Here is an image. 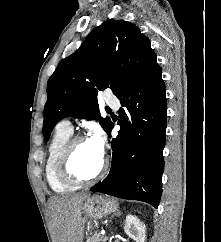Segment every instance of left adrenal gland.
Returning <instances> with one entry per match:
<instances>
[{
    "instance_id": "obj_1",
    "label": "left adrenal gland",
    "mask_w": 221,
    "mask_h": 242,
    "mask_svg": "<svg viewBox=\"0 0 221 242\" xmlns=\"http://www.w3.org/2000/svg\"><path fill=\"white\" fill-rule=\"evenodd\" d=\"M116 215H117V216H120V215H121V212H120V211H118V212L116 213Z\"/></svg>"
}]
</instances>
